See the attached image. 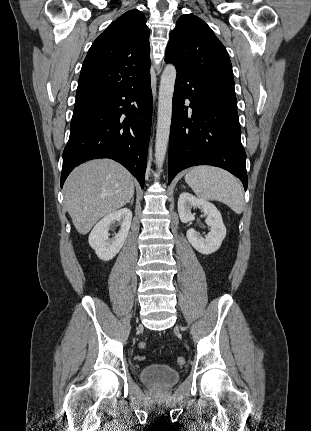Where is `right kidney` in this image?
Returning a JSON list of instances; mask_svg holds the SVG:
<instances>
[{
	"instance_id": "1",
	"label": "right kidney",
	"mask_w": 311,
	"mask_h": 431,
	"mask_svg": "<svg viewBox=\"0 0 311 431\" xmlns=\"http://www.w3.org/2000/svg\"><path fill=\"white\" fill-rule=\"evenodd\" d=\"M119 221L120 229L115 233L114 237H109L108 233L110 225ZM132 221V212L128 208H122L117 212H111L107 216L102 217L96 225H94L91 233H89V243L95 249L100 259H112L125 243V239L129 233Z\"/></svg>"
}]
</instances>
